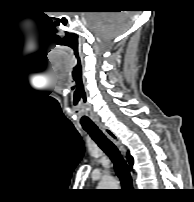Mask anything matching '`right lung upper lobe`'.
I'll list each match as a JSON object with an SVG mask.
<instances>
[{
  "label": "right lung upper lobe",
  "mask_w": 194,
  "mask_h": 202,
  "mask_svg": "<svg viewBox=\"0 0 194 202\" xmlns=\"http://www.w3.org/2000/svg\"><path fill=\"white\" fill-rule=\"evenodd\" d=\"M127 159L129 161V164L132 166L133 165V158L128 154Z\"/></svg>",
  "instance_id": "obj_1"
}]
</instances>
